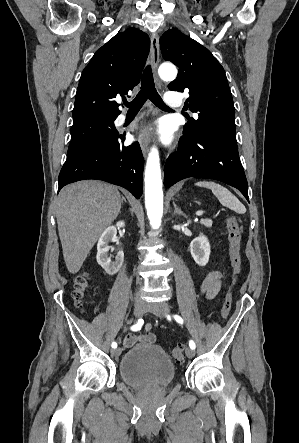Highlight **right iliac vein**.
<instances>
[{
  "label": "right iliac vein",
  "mask_w": 299,
  "mask_h": 443,
  "mask_svg": "<svg viewBox=\"0 0 299 443\" xmlns=\"http://www.w3.org/2000/svg\"><path fill=\"white\" fill-rule=\"evenodd\" d=\"M145 309L146 306L144 303L136 301L134 303V310H133L135 317L137 318L141 317ZM111 353L114 357H118L121 354V349L120 348L113 349Z\"/></svg>",
  "instance_id": "63e3f726"
}]
</instances>
